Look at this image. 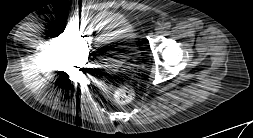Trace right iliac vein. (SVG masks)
Segmentation results:
<instances>
[{
  "instance_id": "1",
  "label": "right iliac vein",
  "mask_w": 253,
  "mask_h": 138,
  "mask_svg": "<svg viewBox=\"0 0 253 138\" xmlns=\"http://www.w3.org/2000/svg\"><path fill=\"white\" fill-rule=\"evenodd\" d=\"M72 30H73L74 32H77V31L79 30V26H78L77 24H74V25L72 26Z\"/></svg>"
}]
</instances>
